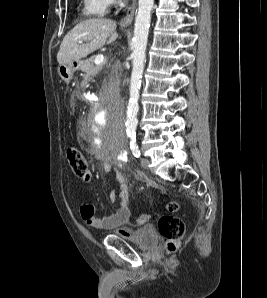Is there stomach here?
<instances>
[{
	"label": "stomach",
	"mask_w": 267,
	"mask_h": 298,
	"mask_svg": "<svg viewBox=\"0 0 267 298\" xmlns=\"http://www.w3.org/2000/svg\"><path fill=\"white\" fill-rule=\"evenodd\" d=\"M80 61H72L70 63L59 65L58 74L65 82H70L73 78L74 72L79 68Z\"/></svg>",
	"instance_id": "stomach-1"
}]
</instances>
